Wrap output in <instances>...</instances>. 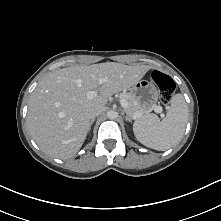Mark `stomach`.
<instances>
[{"instance_id":"obj_1","label":"stomach","mask_w":221,"mask_h":221,"mask_svg":"<svg viewBox=\"0 0 221 221\" xmlns=\"http://www.w3.org/2000/svg\"><path fill=\"white\" fill-rule=\"evenodd\" d=\"M130 93L144 109H150L158 99V91L152 82L140 80L130 88Z\"/></svg>"}]
</instances>
